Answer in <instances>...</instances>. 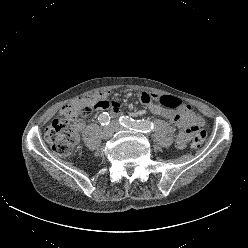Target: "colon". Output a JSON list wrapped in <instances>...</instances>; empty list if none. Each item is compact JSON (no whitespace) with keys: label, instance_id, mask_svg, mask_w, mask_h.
<instances>
[{"label":"colon","instance_id":"1","mask_svg":"<svg viewBox=\"0 0 248 248\" xmlns=\"http://www.w3.org/2000/svg\"><path fill=\"white\" fill-rule=\"evenodd\" d=\"M154 102L169 109H179L183 103L180 99L173 96L161 95L154 96ZM95 104L90 98L85 97L79 104L76 112L69 113L61 118L54 119L45 130V140L51 150L58 156L69 157L78 142L79 121H76L78 116H88L93 109H96ZM206 136L205 127L199 123L194 128V137L192 140V147L199 148L204 143Z\"/></svg>","mask_w":248,"mask_h":248}]
</instances>
